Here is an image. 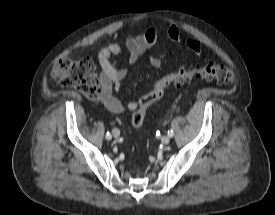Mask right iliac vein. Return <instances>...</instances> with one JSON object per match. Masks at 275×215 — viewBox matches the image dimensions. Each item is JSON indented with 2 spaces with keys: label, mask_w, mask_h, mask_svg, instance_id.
<instances>
[{
  "label": "right iliac vein",
  "mask_w": 275,
  "mask_h": 215,
  "mask_svg": "<svg viewBox=\"0 0 275 215\" xmlns=\"http://www.w3.org/2000/svg\"><path fill=\"white\" fill-rule=\"evenodd\" d=\"M112 134L115 138H118L120 136L119 129H117V128L113 129Z\"/></svg>",
  "instance_id": "obj_1"
}]
</instances>
